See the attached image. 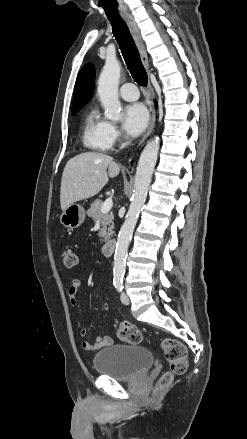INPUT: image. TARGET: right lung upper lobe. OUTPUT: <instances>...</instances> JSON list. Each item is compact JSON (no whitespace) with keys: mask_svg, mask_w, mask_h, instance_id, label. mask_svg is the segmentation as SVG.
Masks as SVG:
<instances>
[{"mask_svg":"<svg viewBox=\"0 0 247 439\" xmlns=\"http://www.w3.org/2000/svg\"><path fill=\"white\" fill-rule=\"evenodd\" d=\"M95 70L86 64L79 72L74 89L72 111L81 109L91 98L94 85Z\"/></svg>","mask_w":247,"mask_h":439,"instance_id":"1","label":"right lung upper lobe"}]
</instances>
